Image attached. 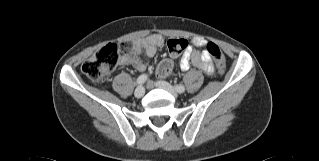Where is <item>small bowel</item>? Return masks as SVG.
Wrapping results in <instances>:
<instances>
[{
	"label": "small bowel",
	"mask_w": 319,
	"mask_h": 161,
	"mask_svg": "<svg viewBox=\"0 0 319 161\" xmlns=\"http://www.w3.org/2000/svg\"><path fill=\"white\" fill-rule=\"evenodd\" d=\"M164 39L159 34H152L144 39L138 40L134 43L133 52L129 55H123L119 58V65H130L136 70L144 72L147 69V64L143 61L139 55L143 54L147 58L153 57L157 49L163 45ZM196 47L194 50L186 51L179 61V65L182 71H187L191 65L196 66L206 73H213L214 66L211 62L210 54L207 52L205 46L206 41L200 38L193 40ZM159 64L155 68V72L159 77H166L169 73L160 74Z\"/></svg>",
	"instance_id": "c3829d8e"
}]
</instances>
